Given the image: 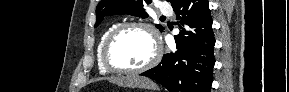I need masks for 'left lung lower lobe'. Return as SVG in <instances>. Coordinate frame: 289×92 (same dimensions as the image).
<instances>
[{"instance_id": "obj_1", "label": "left lung lower lobe", "mask_w": 289, "mask_h": 92, "mask_svg": "<svg viewBox=\"0 0 289 92\" xmlns=\"http://www.w3.org/2000/svg\"><path fill=\"white\" fill-rule=\"evenodd\" d=\"M180 33L176 48L158 66L140 75L153 79L170 92H210L215 45L207 0H174Z\"/></svg>"}]
</instances>
